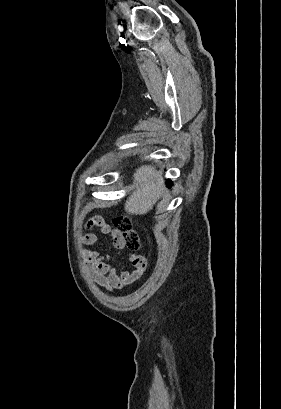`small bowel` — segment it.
<instances>
[{
	"mask_svg": "<svg viewBox=\"0 0 281 409\" xmlns=\"http://www.w3.org/2000/svg\"><path fill=\"white\" fill-rule=\"evenodd\" d=\"M91 220L94 222V226L91 222L82 224V229L86 233L82 237V242L85 245H94L98 241L96 235H103L104 233L113 238V246L119 250L123 242L119 238L118 231L111 229L103 219L93 217ZM81 253L85 264L91 269L94 281L110 291L121 289L132 282H139L140 276L145 273L146 261L140 255L131 256L130 263L134 266V271L130 272L125 267H120L118 271L107 262L108 256L102 255L99 251L83 249Z\"/></svg>",
	"mask_w": 281,
	"mask_h": 409,
	"instance_id": "small-bowel-1",
	"label": "small bowel"
}]
</instances>
